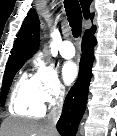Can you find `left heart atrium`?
I'll return each mask as SVG.
<instances>
[{"label":"left heart atrium","mask_w":117,"mask_h":136,"mask_svg":"<svg viewBox=\"0 0 117 136\" xmlns=\"http://www.w3.org/2000/svg\"><path fill=\"white\" fill-rule=\"evenodd\" d=\"M78 76V67L77 65L72 62V61H67L63 64L62 66V77L63 80L67 83L70 84L73 81H75V79Z\"/></svg>","instance_id":"1"}]
</instances>
